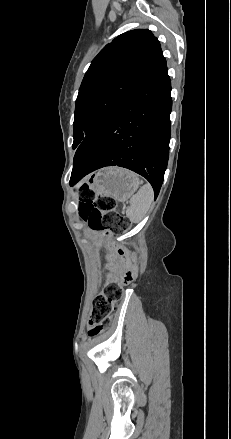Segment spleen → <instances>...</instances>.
<instances>
[{
    "mask_svg": "<svg viewBox=\"0 0 231 439\" xmlns=\"http://www.w3.org/2000/svg\"><path fill=\"white\" fill-rule=\"evenodd\" d=\"M154 198V192L149 183L143 185L129 201L126 216L133 223H139L148 212Z\"/></svg>",
    "mask_w": 231,
    "mask_h": 439,
    "instance_id": "3e777b00",
    "label": "spleen"
}]
</instances>
